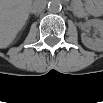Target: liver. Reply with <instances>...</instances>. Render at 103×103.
I'll use <instances>...</instances> for the list:
<instances>
[{"label":"liver","mask_w":103,"mask_h":103,"mask_svg":"<svg viewBox=\"0 0 103 103\" xmlns=\"http://www.w3.org/2000/svg\"><path fill=\"white\" fill-rule=\"evenodd\" d=\"M30 13V2L5 0L1 2L0 45L7 48L26 24Z\"/></svg>","instance_id":"liver-1"}]
</instances>
